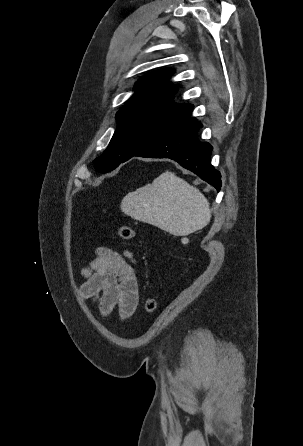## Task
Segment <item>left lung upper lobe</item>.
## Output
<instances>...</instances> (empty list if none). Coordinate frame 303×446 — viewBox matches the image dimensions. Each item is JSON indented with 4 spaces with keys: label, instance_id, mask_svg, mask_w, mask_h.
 <instances>
[{
    "label": "left lung upper lobe",
    "instance_id": "obj_1",
    "mask_svg": "<svg viewBox=\"0 0 303 446\" xmlns=\"http://www.w3.org/2000/svg\"><path fill=\"white\" fill-rule=\"evenodd\" d=\"M173 69L149 73L136 82L137 91L117 112L118 127L107 149L95 159V167L106 173L121 161L174 132L190 116L192 104L172 101L178 88L167 82Z\"/></svg>",
    "mask_w": 303,
    "mask_h": 446
}]
</instances>
